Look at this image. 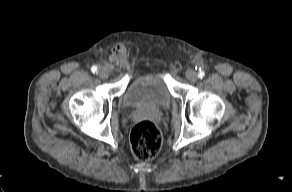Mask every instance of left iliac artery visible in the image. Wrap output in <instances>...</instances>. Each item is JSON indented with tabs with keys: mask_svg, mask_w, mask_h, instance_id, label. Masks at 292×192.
Listing matches in <instances>:
<instances>
[{
	"mask_svg": "<svg viewBox=\"0 0 292 192\" xmlns=\"http://www.w3.org/2000/svg\"><path fill=\"white\" fill-rule=\"evenodd\" d=\"M205 76V72L204 71H200L198 74L199 78H203Z\"/></svg>",
	"mask_w": 292,
	"mask_h": 192,
	"instance_id": "left-iliac-artery-1",
	"label": "left iliac artery"
}]
</instances>
